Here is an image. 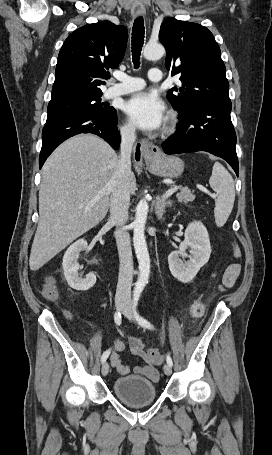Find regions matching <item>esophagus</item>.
Returning a JSON list of instances; mask_svg holds the SVG:
<instances>
[{"mask_svg":"<svg viewBox=\"0 0 272 455\" xmlns=\"http://www.w3.org/2000/svg\"><path fill=\"white\" fill-rule=\"evenodd\" d=\"M132 13L135 17L142 16L145 14V8L141 4H135L133 5ZM160 155L161 150L158 146L143 139L140 141V144L136 146L135 162L136 164L141 165L142 162H151Z\"/></svg>","mask_w":272,"mask_h":455,"instance_id":"obj_1","label":"esophagus"}]
</instances>
